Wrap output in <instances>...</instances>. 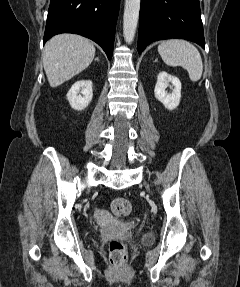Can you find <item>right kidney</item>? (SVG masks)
Returning <instances> with one entry per match:
<instances>
[{
    "label": "right kidney",
    "mask_w": 240,
    "mask_h": 287,
    "mask_svg": "<svg viewBox=\"0 0 240 287\" xmlns=\"http://www.w3.org/2000/svg\"><path fill=\"white\" fill-rule=\"evenodd\" d=\"M93 84L90 80L75 82L67 93L70 106L78 111L85 109L93 98Z\"/></svg>",
    "instance_id": "ca27d5eb"
}]
</instances>
